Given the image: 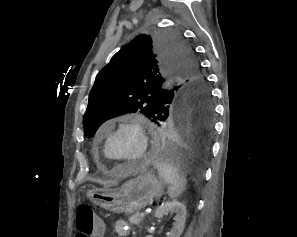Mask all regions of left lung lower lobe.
Masks as SVG:
<instances>
[{
    "instance_id": "left-lung-lower-lobe-1",
    "label": "left lung lower lobe",
    "mask_w": 297,
    "mask_h": 237,
    "mask_svg": "<svg viewBox=\"0 0 297 237\" xmlns=\"http://www.w3.org/2000/svg\"><path fill=\"white\" fill-rule=\"evenodd\" d=\"M166 118L152 156L179 166H200L208 156L213 132L212 101L174 104L160 120Z\"/></svg>"
}]
</instances>
